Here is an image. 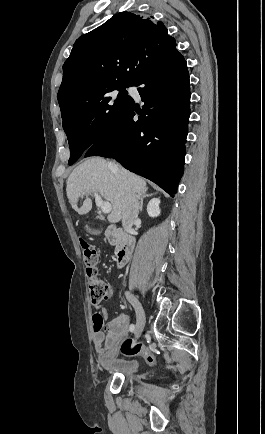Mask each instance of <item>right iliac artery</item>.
Instances as JSON below:
<instances>
[{"mask_svg": "<svg viewBox=\"0 0 265 434\" xmlns=\"http://www.w3.org/2000/svg\"><path fill=\"white\" fill-rule=\"evenodd\" d=\"M134 330H135V325H134V324H131V325H130V331L133 332Z\"/></svg>", "mask_w": 265, "mask_h": 434, "instance_id": "right-iliac-artery-1", "label": "right iliac artery"}]
</instances>
